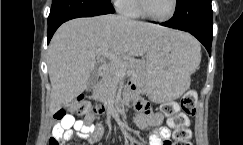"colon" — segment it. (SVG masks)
Instances as JSON below:
<instances>
[{"label":"colon","instance_id":"1","mask_svg":"<svg viewBox=\"0 0 243 145\" xmlns=\"http://www.w3.org/2000/svg\"><path fill=\"white\" fill-rule=\"evenodd\" d=\"M197 95L195 91H188L180 101V106L175 102L164 103L161 107L162 113L168 118V124L173 129V142L168 145H191V131L189 129V117L196 113ZM181 110V111H180ZM72 114L83 116L86 106L82 99H76L60 108L54 115L59 122ZM48 145H61L59 138L51 135Z\"/></svg>","mask_w":243,"mask_h":145}]
</instances>
